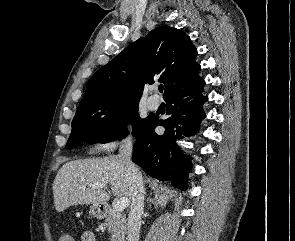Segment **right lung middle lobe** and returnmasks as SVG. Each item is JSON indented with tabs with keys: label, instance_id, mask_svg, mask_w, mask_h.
<instances>
[{
	"label": "right lung middle lobe",
	"instance_id": "dd1d6c3e",
	"mask_svg": "<svg viewBox=\"0 0 295 241\" xmlns=\"http://www.w3.org/2000/svg\"><path fill=\"white\" fill-rule=\"evenodd\" d=\"M138 102L109 100L93 105L79 106L72 121V132L66 144L67 149L80 142L106 143L123 137V125L131 120L133 135H136L151 119H140Z\"/></svg>",
	"mask_w": 295,
	"mask_h": 241
}]
</instances>
